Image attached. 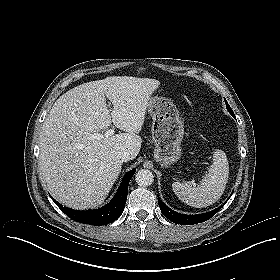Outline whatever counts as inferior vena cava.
Here are the masks:
<instances>
[{
  "instance_id": "1",
  "label": "inferior vena cava",
  "mask_w": 280,
  "mask_h": 280,
  "mask_svg": "<svg viewBox=\"0 0 280 280\" xmlns=\"http://www.w3.org/2000/svg\"><path fill=\"white\" fill-rule=\"evenodd\" d=\"M132 159V156L129 152L125 151L121 154V161L122 162H127L130 161Z\"/></svg>"
}]
</instances>
